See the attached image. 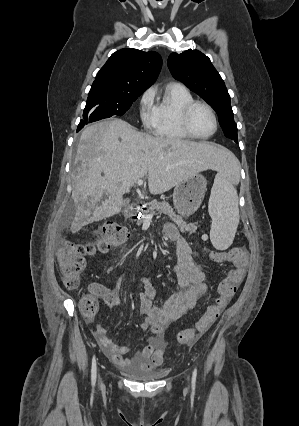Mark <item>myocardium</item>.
<instances>
[{
    "label": "myocardium",
    "instance_id": "1",
    "mask_svg": "<svg viewBox=\"0 0 299 426\" xmlns=\"http://www.w3.org/2000/svg\"><path fill=\"white\" fill-rule=\"evenodd\" d=\"M197 106L205 107L210 112V114L212 115V118H213V121H214V130L209 135H206V136L198 135L191 128L190 117H191L193 110ZM180 122H181V127H182L183 131L189 137L199 139V140H206V139L211 138L212 136H214L217 133L218 128H219L218 118H217L216 112L213 109V107L210 104H208L207 102L200 101V100H193L190 103H188L187 105H185V107L183 108V110L181 112Z\"/></svg>",
    "mask_w": 299,
    "mask_h": 426
}]
</instances>
